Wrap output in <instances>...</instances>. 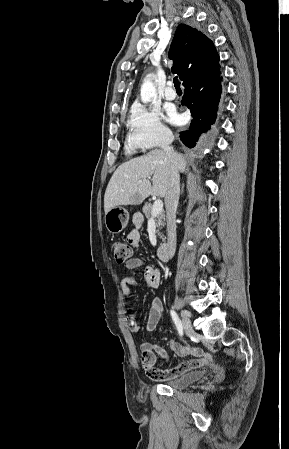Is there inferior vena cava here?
Masks as SVG:
<instances>
[{"mask_svg": "<svg viewBox=\"0 0 289 449\" xmlns=\"http://www.w3.org/2000/svg\"><path fill=\"white\" fill-rule=\"evenodd\" d=\"M173 140L174 136L172 134H168L161 142V148L171 158L168 192L165 196L168 235L167 245L170 258L174 256L176 250V211L180 195V177L173 162V148L170 146Z\"/></svg>", "mask_w": 289, "mask_h": 449, "instance_id": "602c4592", "label": "inferior vena cava"}]
</instances>
